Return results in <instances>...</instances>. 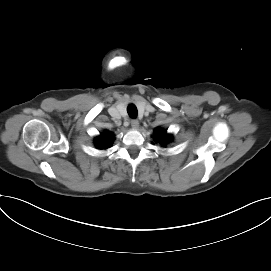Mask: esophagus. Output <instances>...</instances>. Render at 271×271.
<instances>
[{
	"label": "esophagus",
	"mask_w": 271,
	"mask_h": 271,
	"mask_svg": "<svg viewBox=\"0 0 271 271\" xmlns=\"http://www.w3.org/2000/svg\"><path fill=\"white\" fill-rule=\"evenodd\" d=\"M131 126L132 128L137 129L139 127V121L137 119H132Z\"/></svg>",
	"instance_id": "1"
}]
</instances>
